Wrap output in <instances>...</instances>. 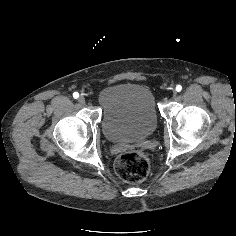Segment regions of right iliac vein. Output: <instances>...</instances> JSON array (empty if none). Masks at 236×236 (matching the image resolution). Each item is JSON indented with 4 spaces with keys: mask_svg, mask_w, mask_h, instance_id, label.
I'll return each mask as SVG.
<instances>
[{
    "mask_svg": "<svg viewBox=\"0 0 236 236\" xmlns=\"http://www.w3.org/2000/svg\"><path fill=\"white\" fill-rule=\"evenodd\" d=\"M78 102H79L80 104H85V97H84V96H80V97L78 98Z\"/></svg>",
    "mask_w": 236,
    "mask_h": 236,
    "instance_id": "obj_1",
    "label": "right iliac vein"
}]
</instances>
